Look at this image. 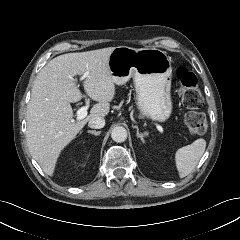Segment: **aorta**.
<instances>
[{"instance_id": "1", "label": "aorta", "mask_w": 240, "mask_h": 240, "mask_svg": "<svg viewBox=\"0 0 240 240\" xmlns=\"http://www.w3.org/2000/svg\"><path fill=\"white\" fill-rule=\"evenodd\" d=\"M111 138L117 143L124 142L127 139V131L122 126H116L111 131Z\"/></svg>"}]
</instances>
